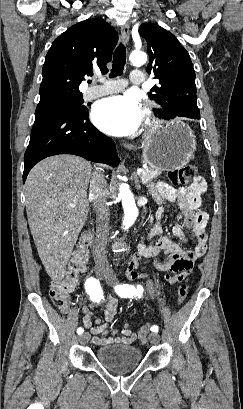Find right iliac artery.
Listing matches in <instances>:
<instances>
[{"mask_svg": "<svg viewBox=\"0 0 243 409\" xmlns=\"http://www.w3.org/2000/svg\"><path fill=\"white\" fill-rule=\"evenodd\" d=\"M85 289L86 292L90 295L93 301H100L103 298V292L101 286L99 284V280H96L93 277H90L85 282ZM84 332L82 327L77 329L78 334H82Z\"/></svg>", "mask_w": 243, "mask_h": 409, "instance_id": "1", "label": "right iliac artery"}]
</instances>
